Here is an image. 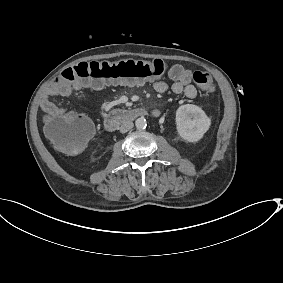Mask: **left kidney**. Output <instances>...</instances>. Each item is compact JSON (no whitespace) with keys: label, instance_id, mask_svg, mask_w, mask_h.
<instances>
[{"label":"left kidney","instance_id":"1","mask_svg":"<svg viewBox=\"0 0 283 283\" xmlns=\"http://www.w3.org/2000/svg\"><path fill=\"white\" fill-rule=\"evenodd\" d=\"M175 121L179 137L189 143H198L212 124L206 113L192 104L180 106L176 111Z\"/></svg>","mask_w":283,"mask_h":283}]
</instances>
